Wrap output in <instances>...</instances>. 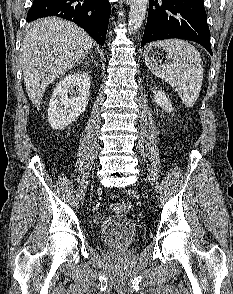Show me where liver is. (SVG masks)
<instances>
[{
  "label": "liver",
  "mask_w": 233,
  "mask_h": 294,
  "mask_svg": "<svg viewBox=\"0 0 233 294\" xmlns=\"http://www.w3.org/2000/svg\"><path fill=\"white\" fill-rule=\"evenodd\" d=\"M92 45L91 37L70 21L47 17L30 25L21 65L26 92L37 109L48 85L88 55Z\"/></svg>",
  "instance_id": "liver-1"
}]
</instances>
